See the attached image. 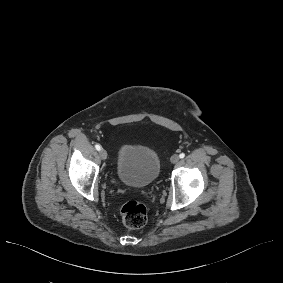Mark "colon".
<instances>
[{
  "label": "colon",
  "instance_id": "colon-1",
  "mask_svg": "<svg viewBox=\"0 0 283 283\" xmlns=\"http://www.w3.org/2000/svg\"><path fill=\"white\" fill-rule=\"evenodd\" d=\"M120 215L123 224L130 229H137L147 222V208L139 201L126 202L121 210Z\"/></svg>",
  "mask_w": 283,
  "mask_h": 283
}]
</instances>
